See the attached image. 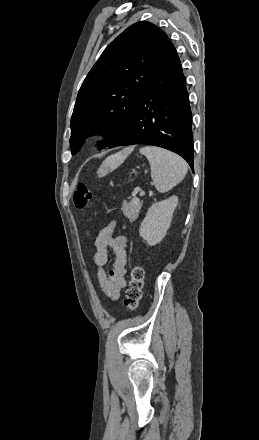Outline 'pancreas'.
Listing matches in <instances>:
<instances>
[{
	"mask_svg": "<svg viewBox=\"0 0 259 440\" xmlns=\"http://www.w3.org/2000/svg\"><path fill=\"white\" fill-rule=\"evenodd\" d=\"M141 207L142 202L138 201L137 203H134L132 199L130 203L123 204L121 210L130 221H133L138 217Z\"/></svg>",
	"mask_w": 259,
	"mask_h": 440,
	"instance_id": "cf45deb5",
	"label": "pancreas"
}]
</instances>
